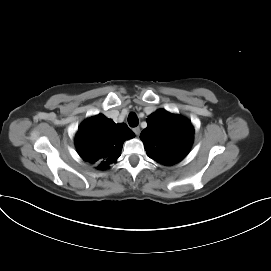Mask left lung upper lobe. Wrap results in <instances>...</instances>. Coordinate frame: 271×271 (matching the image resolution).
<instances>
[{"label":"left lung upper lobe","instance_id":"1","mask_svg":"<svg viewBox=\"0 0 271 271\" xmlns=\"http://www.w3.org/2000/svg\"><path fill=\"white\" fill-rule=\"evenodd\" d=\"M147 123L140 137L151 159L173 165L187 155L194 134L190 121L160 109L147 118Z\"/></svg>","mask_w":271,"mask_h":271}]
</instances>
